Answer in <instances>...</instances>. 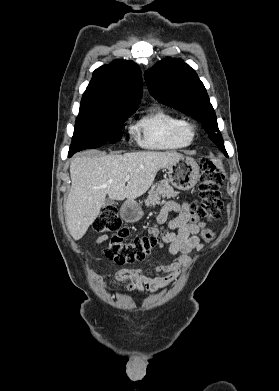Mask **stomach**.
Returning a JSON list of instances; mask_svg holds the SVG:
<instances>
[{"instance_id":"1","label":"stomach","mask_w":279,"mask_h":391,"mask_svg":"<svg viewBox=\"0 0 279 391\" xmlns=\"http://www.w3.org/2000/svg\"><path fill=\"white\" fill-rule=\"evenodd\" d=\"M169 180L182 191L193 188L199 180V166L193 158L182 157L168 167ZM121 217L130 223L137 222L143 216L141 207L133 202H125L120 209Z\"/></svg>"}]
</instances>
